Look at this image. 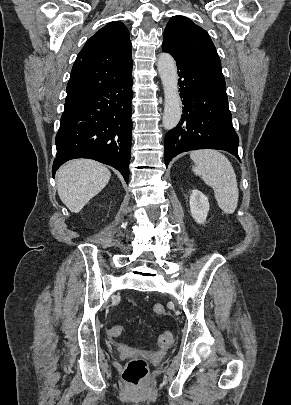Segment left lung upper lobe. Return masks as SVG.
<instances>
[{
    "label": "left lung upper lobe",
    "instance_id": "5c2ea615",
    "mask_svg": "<svg viewBox=\"0 0 291 405\" xmlns=\"http://www.w3.org/2000/svg\"><path fill=\"white\" fill-rule=\"evenodd\" d=\"M162 46L185 58L221 64L208 33L180 15L169 20Z\"/></svg>",
    "mask_w": 291,
    "mask_h": 405
}]
</instances>
